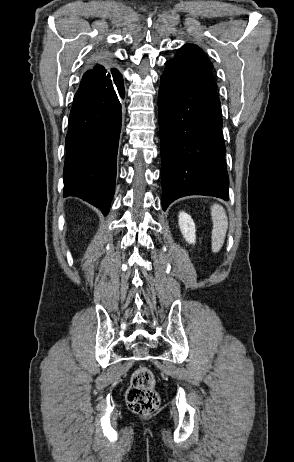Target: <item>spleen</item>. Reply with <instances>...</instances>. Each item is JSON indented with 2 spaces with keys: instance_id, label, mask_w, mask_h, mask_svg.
<instances>
[{
  "instance_id": "spleen-1",
  "label": "spleen",
  "mask_w": 294,
  "mask_h": 462,
  "mask_svg": "<svg viewBox=\"0 0 294 462\" xmlns=\"http://www.w3.org/2000/svg\"><path fill=\"white\" fill-rule=\"evenodd\" d=\"M211 216L213 220L212 250L213 252H218L224 243L228 219L224 208L219 204H214L211 207Z\"/></svg>"
}]
</instances>
